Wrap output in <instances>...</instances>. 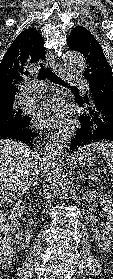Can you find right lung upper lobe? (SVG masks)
<instances>
[{
	"label": "right lung upper lobe",
	"instance_id": "cb5924a9",
	"mask_svg": "<svg viewBox=\"0 0 113 279\" xmlns=\"http://www.w3.org/2000/svg\"><path fill=\"white\" fill-rule=\"evenodd\" d=\"M43 45L44 39L39 32L29 28L22 31L8 48L0 64V108L14 103L16 84L23 80L26 67L44 59Z\"/></svg>",
	"mask_w": 113,
	"mask_h": 279
}]
</instances>
